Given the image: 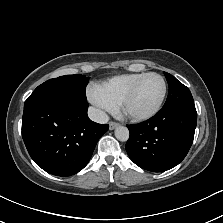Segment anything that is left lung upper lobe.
<instances>
[{
  "label": "left lung upper lobe",
  "mask_w": 223,
  "mask_h": 223,
  "mask_svg": "<svg viewBox=\"0 0 223 223\" xmlns=\"http://www.w3.org/2000/svg\"><path fill=\"white\" fill-rule=\"evenodd\" d=\"M164 74L169 84V94L163 108L175 105H194L189 89L171 74L166 72Z\"/></svg>",
  "instance_id": "1"
}]
</instances>
